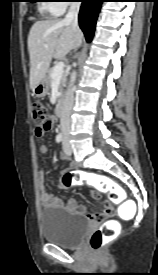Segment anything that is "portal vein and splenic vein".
<instances>
[{"instance_id": "1", "label": "portal vein and splenic vein", "mask_w": 158, "mask_h": 275, "mask_svg": "<svg viewBox=\"0 0 158 275\" xmlns=\"http://www.w3.org/2000/svg\"><path fill=\"white\" fill-rule=\"evenodd\" d=\"M63 69H64V63L63 62H58L55 67L54 70L51 74L52 79H60L62 77L63 74Z\"/></svg>"}]
</instances>
